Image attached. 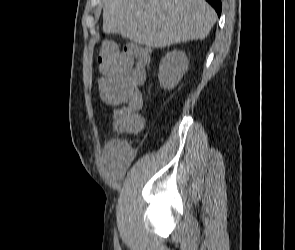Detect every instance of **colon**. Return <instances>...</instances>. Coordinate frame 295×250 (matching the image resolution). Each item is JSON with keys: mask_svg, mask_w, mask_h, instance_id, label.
I'll return each mask as SVG.
<instances>
[{"mask_svg": "<svg viewBox=\"0 0 295 250\" xmlns=\"http://www.w3.org/2000/svg\"><path fill=\"white\" fill-rule=\"evenodd\" d=\"M146 50V48L129 45L125 49H120L110 41H104L99 49L98 61L102 73L110 72L125 53H136ZM111 122L115 129L126 132H138L144 126V118L140 114V108L130 104L121 105L114 110L111 115Z\"/></svg>", "mask_w": 295, "mask_h": 250, "instance_id": "5ec220e1", "label": "colon"}]
</instances>
